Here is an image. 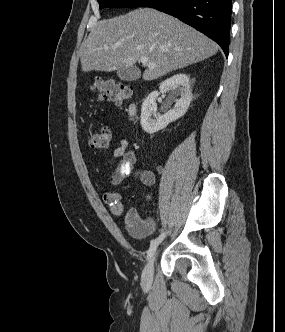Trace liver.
Listing matches in <instances>:
<instances>
[{"instance_id":"liver-1","label":"liver","mask_w":285,"mask_h":332,"mask_svg":"<svg viewBox=\"0 0 285 332\" xmlns=\"http://www.w3.org/2000/svg\"><path fill=\"white\" fill-rule=\"evenodd\" d=\"M218 45L178 19L150 8L94 24L79 51L83 72H111L147 57L154 68L143 79L155 80L215 55Z\"/></svg>"}]
</instances>
